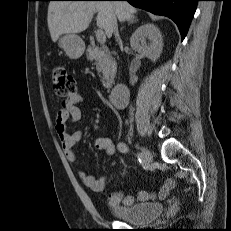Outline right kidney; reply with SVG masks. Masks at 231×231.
<instances>
[{
	"mask_svg": "<svg viewBox=\"0 0 231 231\" xmlns=\"http://www.w3.org/2000/svg\"><path fill=\"white\" fill-rule=\"evenodd\" d=\"M147 40L150 43L147 44ZM130 45L141 57L155 62L162 53L163 37L156 25L147 23L136 29L130 38Z\"/></svg>",
	"mask_w": 231,
	"mask_h": 231,
	"instance_id": "1",
	"label": "right kidney"
}]
</instances>
